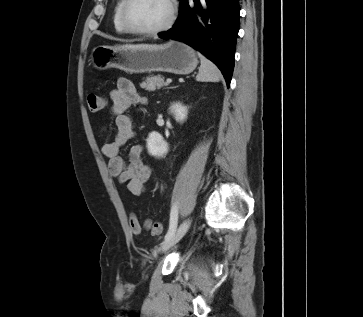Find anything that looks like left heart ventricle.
<instances>
[{
    "label": "left heart ventricle",
    "instance_id": "left-heart-ventricle-1",
    "mask_svg": "<svg viewBox=\"0 0 363 317\" xmlns=\"http://www.w3.org/2000/svg\"><path fill=\"white\" fill-rule=\"evenodd\" d=\"M169 10L167 0H134L129 9V20L138 29H155L167 20Z\"/></svg>",
    "mask_w": 363,
    "mask_h": 317
}]
</instances>
